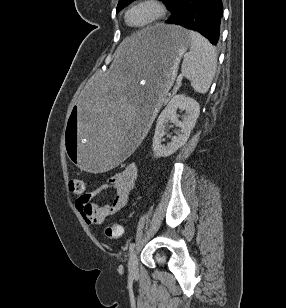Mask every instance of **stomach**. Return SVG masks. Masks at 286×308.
Listing matches in <instances>:
<instances>
[{"label":"stomach","mask_w":286,"mask_h":308,"mask_svg":"<svg viewBox=\"0 0 286 308\" xmlns=\"http://www.w3.org/2000/svg\"><path fill=\"white\" fill-rule=\"evenodd\" d=\"M136 34L123 40L112 69L83 91L69 113L64 149L79 173H106L135 153L191 44L177 25L161 23Z\"/></svg>","instance_id":"0dacf381"}]
</instances>
